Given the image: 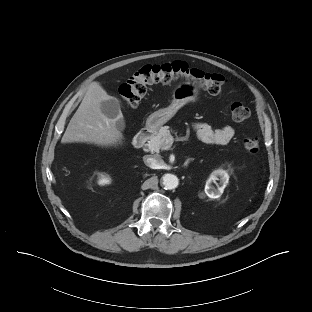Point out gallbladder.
Listing matches in <instances>:
<instances>
[{"mask_svg":"<svg viewBox=\"0 0 312 312\" xmlns=\"http://www.w3.org/2000/svg\"><path fill=\"white\" fill-rule=\"evenodd\" d=\"M101 110L105 116L116 120L118 130H123L125 127L124 119L121 114L120 102L116 98L101 102Z\"/></svg>","mask_w":312,"mask_h":312,"instance_id":"obj_1","label":"gallbladder"}]
</instances>
